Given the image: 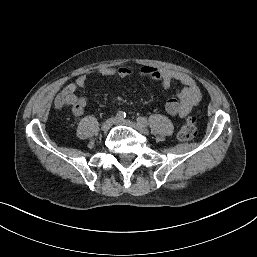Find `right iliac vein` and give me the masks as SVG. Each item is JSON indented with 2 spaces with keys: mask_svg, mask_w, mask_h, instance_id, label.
<instances>
[{
  "mask_svg": "<svg viewBox=\"0 0 257 257\" xmlns=\"http://www.w3.org/2000/svg\"><path fill=\"white\" fill-rule=\"evenodd\" d=\"M117 118H109L107 119L101 126L102 131H108L112 125L115 123Z\"/></svg>",
  "mask_w": 257,
  "mask_h": 257,
  "instance_id": "right-iliac-vein-1",
  "label": "right iliac vein"
}]
</instances>
